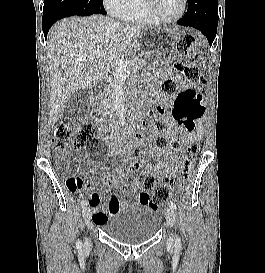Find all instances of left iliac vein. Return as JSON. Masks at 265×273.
I'll return each instance as SVG.
<instances>
[{"label":"left iliac vein","mask_w":265,"mask_h":273,"mask_svg":"<svg viewBox=\"0 0 265 273\" xmlns=\"http://www.w3.org/2000/svg\"><path fill=\"white\" fill-rule=\"evenodd\" d=\"M166 220H167V223L171 227L174 226L175 220H176V215H175V212L172 209H168L167 210V212H166ZM173 244H174V240H173V237L171 236L168 239L167 245H168L169 248H172Z\"/></svg>","instance_id":"left-iliac-vein-1"}]
</instances>
